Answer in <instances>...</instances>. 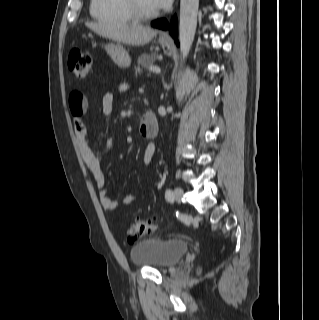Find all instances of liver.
Instances as JSON below:
<instances>
[{"label":"liver","instance_id":"1","mask_svg":"<svg viewBox=\"0 0 319 320\" xmlns=\"http://www.w3.org/2000/svg\"><path fill=\"white\" fill-rule=\"evenodd\" d=\"M85 25L103 37L132 46L145 45L158 33L156 30L137 24L87 22Z\"/></svg>","mask_w":319,"mask_h":320}]
</instances>
